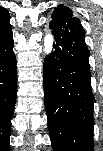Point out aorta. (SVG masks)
<instances>
[{
	"label": "aorta",
	"instance_id": "obj_1",
	"mask_svg": "<svg viewBox=\"0 0 103 151\" xmlns=\"http://www.w3.org/2000/svg\"><path fill=\"white\" fill-rule=\"evenodd\" d=\"M53 46H54V36L52 35L51 32H49L44 37V51L47 55L52 53Z\"/></svg>",
	"mask_w": 103,
	"mask_h": 151
}]
</instances>
